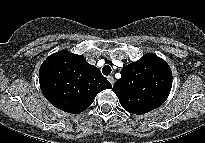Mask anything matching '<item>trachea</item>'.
<instances>
[{
	"instance_id": "trachea-1",
	"label": "trachea",
	"mask_w": 205,
	"mask_h": 143,
	"mask_svg": "<svg viewBox=\"0 0 205 143\" xmlns=\"http://www.w3.org/2000/svg\"><path fill=\"white\" fill-rule=\"evenodd\" d=\"M111 71L112 70H111V67L109 65H105L102 69V73L106 76L110 75Z\"/></svg>"
}]
</instances>
